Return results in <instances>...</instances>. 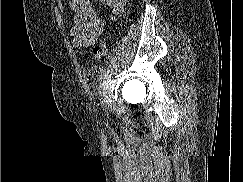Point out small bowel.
I'll return each instance as SVG.
<instances>
[{
  "label": "small bowel",
  "mask_w": 243,
  "mask_h": 182,
  "mask_svg": "<svg viewBox=\"0 0 243 182\" xmlns=\"http://www.w3.org/2000/svg\"><path fill=\"white\" fill-rule=\"evenodd\" d=\"M112 9L113 16H121L125 11L126 0H98ZM73 23L70 35L75 47H89L96 43L104 30V22L91 0H70Z\"/></svg>",
  "instance_id": "c3829d8e"
}]
</instances>
